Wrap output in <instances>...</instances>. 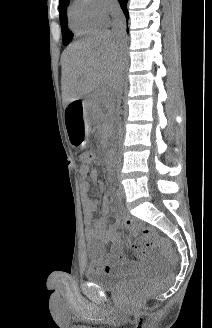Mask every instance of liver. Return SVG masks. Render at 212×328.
Returning a JSON list of instances; mask_svg holds the SVG:
<instances>
[{"label":"liver","mask_w":212,"mask_h":328,"mask_svg":"<svg viewBox=\"0 0 212 328\" xmlns=\"http://www.w3.org/2000/svg\"><path fill=\"white\" fill-rule=\"evenodd\" d=\"M122 40L103 30L72 43L62 55V98L69 104L95 89L113 93L122 71Z\"/></svg>","instance_id":"1"}]
</instances>
